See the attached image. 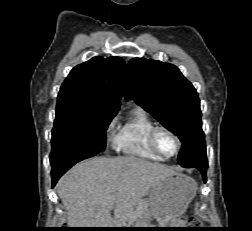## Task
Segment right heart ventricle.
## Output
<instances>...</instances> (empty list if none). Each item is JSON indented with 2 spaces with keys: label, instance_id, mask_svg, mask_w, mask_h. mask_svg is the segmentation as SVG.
Masks as SVG:
<instances>
[{
  "label": "right heart ventricle",
  "instance_id": "obj_1",
  "mask_svg": "<svg viewBox=\"0 0 252 231\" xmlns=\"http://www.w3.org/2000/svg\"><path fill=\"white\" fill-rule=\"evenodd\" d=\"M155 126V121L144 110H133L114 137L115 148L127 156L162 161L149 146V133Z\"/></svg>",
  "mask_w": 252,
  "mask_h": 231
}]
</instances>
